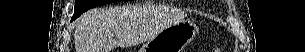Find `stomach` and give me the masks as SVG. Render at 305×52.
Masks as SVG:
<instances>
[{
  "label": "stomach",
  "mask_w": 305,
  "mask_h": 52,
  "mask_svg": "<svg viewBox=\"0 0 305 52\" xmlns=\"http://www.w3.org/2000/svg\"><path fill=\"white\" fill-rule=\"evenodd\" d=\"M197 33L196 24L183 20L164 28L148 40L139 52H182Z\"/></svg>",
  "instance_id": "1"
}]
</instances>
